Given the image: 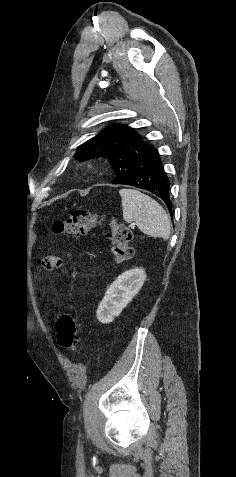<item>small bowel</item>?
<instances>
[{
  "mask_svg": "<svg viewBox=\"0 0 236 477\" xmlns=\"http://www.w3.org/2000/svg\"><path fill=\"white\" fill-rule=\"evenodd\" d=\"M44 266L47 268H61L63 267V261L55 256H49L44 261Z\"/></svg>",
  "mask_w": 236,
  "mask_h": 477,
  "instance_id": "obj_1",
  "label": "small bowel"
}]
</instances>
